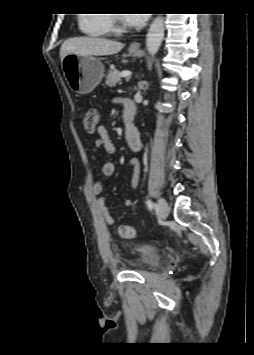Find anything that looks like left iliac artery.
<instances>
[{"instance_id": "left-iliac-artery-1", "label": "left iliac artery", "mask_w": 254, "mask_h": 355, "mask_svg": "<svg viewBox=\"0 0 254 355\" xmlns=\"http://www.w3.org/2000/svg\"><path fill=\"white\" fill-rule=\"evenodd\" d=\"M147 206H148L149 209H152V208H153V203H152L151 200H148V201H147Z\"/></svg>"}]
</instances>
